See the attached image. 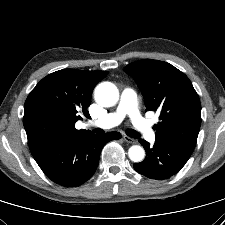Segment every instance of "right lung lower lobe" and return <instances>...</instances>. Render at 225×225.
I'll list each match as a JSON object with an SVG mask.
<instances>
[{
    "label": "right lung lower lobe",
    "mask_w": 225,
    "mask_h": 225,
    "mask_svg": "<svg viewBox=\"0 0 225 225\" xmlns=\"http://www.w3.org/2000/svg\"><path fill=\"white\" fill-rule=\"evenodd\" d=\"M120 137L118 132L64 136L47 143L32 155L51 181L64 187H76L95 173L103 146Z\"/></svg>",
    "instance_id": "1"
}]
</instances>
